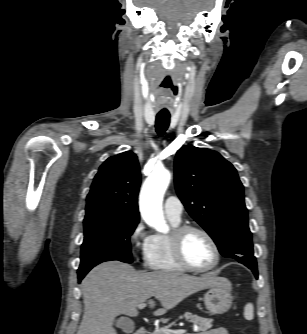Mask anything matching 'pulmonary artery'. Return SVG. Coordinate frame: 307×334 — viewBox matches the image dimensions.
Instances as JSON below:
<instances>
[{
	"mask_svg": "<svg viewBox=\"0 0 307 334\" xmlns=\"http://www.w3.org/2000/svg\"><path fill=\"white\" fill-rule=\"evenodd\" d=\"M164 213L170 221L180 223L183 213L181 200L176 196L168 197L164 203Z\"/></svg>",
	"mask_w": 307,
	"mask_h": 334,
	"instance_id": "e3ab8cb5",
	"label": "pulmonary artery"
}]
</instances>
